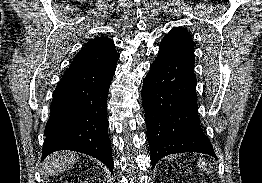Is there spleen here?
<instances>
[{
  "instance_id": "3e777b00",
  "label": "spleen",
  "mask_w": 262,
  "mask_h": 183,
  "mask_svg": "<svg viewBox=\"0 0 262 183\" xmlns=\"http://www.w3.org/2000/svg\"><path fill=\"white\" fill-rule=\"evenodd\" d=\"M199 166H200L201 168H203V169H206V167H207L206 161L203 160V159H200V160H199Z\"/></svg>"
}]
</instances>
